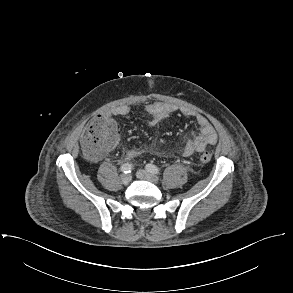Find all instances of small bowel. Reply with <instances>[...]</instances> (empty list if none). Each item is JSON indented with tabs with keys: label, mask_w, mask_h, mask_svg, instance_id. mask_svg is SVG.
I'll list each match as a JSON object with an SVG mask.
<instances>
[{
	"label": "small bowel",
	"mask_w": 293,
	"mask_h": 293,
	"mask_svg": "<svg viewBox=\"0 0 293 293\" xmlns=\"http://www.w3.org/2000/svg\"><path fill=\"white\" fill-rule=\"evenodd\" d=\"M145 112L150 115L149 123L157 125L175 112H180L183 116L192 117L198 125V132L193 133L192 137L185 143L182 149L184 156H191L194 153L202 152L206 147L217 143V134L208 119L202 115L194 113L188 109H179L174 105L153 102L144 107ZM131 112L128 105H119L105 111L102 116L112 119L116 116H127ZM118 142V139H117ZM141 154L139 150L131 149L124 156L125 160H131Z\"/></svg>",
	"instance_id": "c3829d8e"
}]
</instances>
